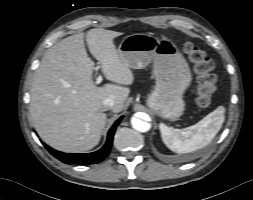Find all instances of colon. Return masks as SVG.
<instances>
[{
    "label": "colon",
    "instance_id": "obj_1",
    "mask_svg": "<svg viewBox=\"0 0 253 200\" xmlns=\"http://www.w3.org/2000/svg\"><path fill=\"white\" fill-rule=\"evenodd\" d=\"M183 50L197 74V103L200 107H208L216 91V76L213 73L214 64L206 52L196 45L186 42Z\"/></svg>",
    "mask_w": 253,
    "mask_h": 200
}]
</instances>
